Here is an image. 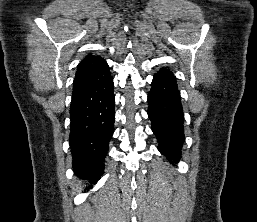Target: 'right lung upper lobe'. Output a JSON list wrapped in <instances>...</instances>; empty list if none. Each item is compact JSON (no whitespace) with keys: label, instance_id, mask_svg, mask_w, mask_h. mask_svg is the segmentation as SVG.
Here are the masks:
<instances>
[{"label":"right lung upper lobe","instance_id":"right-lung-upper-lobe-1","mask_svg":"<svg viewBox=\"0 0 257 222\" xmlns=\"http://www.w3.org/2000/svg\"><path fill=\"white\" fill-rule=\"evenodd\" d=\"M109 73V66L99 56L89 54L77 66L76 76L73 83V92L82 90Z\"/></svg>","mask_w":257,"mask_h":222}]
</instances>
